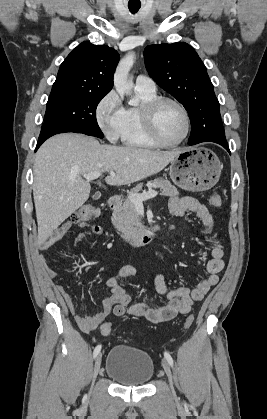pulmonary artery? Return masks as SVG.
<instances>
[{
	"mask_svg": "<svg viewBox=\"0 0 267 419\" xmlns=\"http://www.w3.org/2000/svg\"><path fill=\"white\" fill-rule=\"evenodd\" d=\"M135 88L139 91L154 92L156 91V84L150 77L138 75L135 80Z\"/></svg>",
	"mask_w": 267,
	"mask_h": 419,
	"instance_id": "1",
	"label": "pulmonary artery"
}]
</instances>
